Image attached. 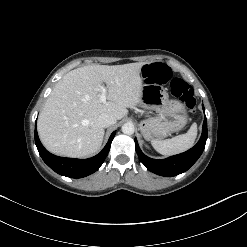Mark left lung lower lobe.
<instances>
[{"instance_id":"1","label":"left lung lower lobe","mask_w":247,"mask_h":247,"mask_svg":"<svg viewBox=\"0 0 247 247\" xmlns=\"http://www.w3.org/2000/svg\"><path fill=\"white\" fill-rule=\"evenodd\" d=\"M203 110L205 112L204 106ZM206 140L207 119L205 116L200 140L193 148L184 153L174 155L162 160L152 159L142 153L136 138L135 149L141 162L146 166L148 170L161 176L172 177L187 171L198 160L205 148Z\"/></svg>"}]
</instances>
